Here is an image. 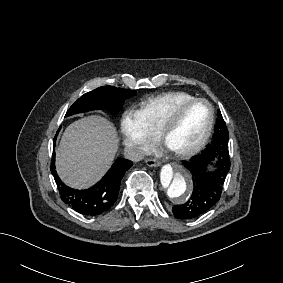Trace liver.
<instances>
[{"mask_svg":"<svg viewBox=\"0 0 283 283\" xmlns=\"http://www.w3.org/2000/svg\"><path fill=\"white\" fill-rule=\"evenodd\" d=\"M113 123L101 116H88L70 124L56 150V171L69 187L87 189L105 175L118 150Z\"/></svg>","mask_w":283,"mask_h":283,"instance_id":"6515ba94","label":"liver"}]
</instances>
